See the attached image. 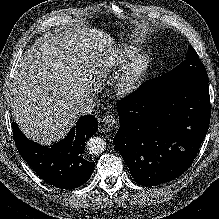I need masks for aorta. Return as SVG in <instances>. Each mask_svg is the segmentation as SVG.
I'll return each instance as SVG.
<instances>
[{"label":"aorta","instance_id":"762f6f07","mask_svg":"<svg viewBox=\"0 0 219 219\" xmlns=\"http://www.w3.org/2000/svg\"><path fill=\"white\" fill-rule=\"evenodd\" d=\"M86 147L90 154L98 155L105 150L106 143L100 137H91L87 141Z\"/></svg>","mask_w":219,"mask_h":219}]
</instances>
